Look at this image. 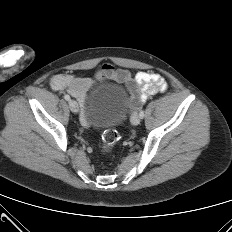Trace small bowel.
Segmentation results:
<instances>
[{
	"mask_svg": "<svg viewBox=\"0 0 232 232\" xmlns=\"http://www.w3.org/2000/svg\"><path fill=\"white\" fill-rule=\"evenodd\" d=\"M106 80L125 84L131 94L130 108L132 111L138 110L149 97L167 89L165 79L157 73L139 72L133 76L128 71L117 69L109 63L103 64L93 78L78 77L71 74L56 75L51 80V86L54 90H66L80 102H83L86 92L90 88L96 83Z\"/></svg>",
	"mask_w": 232,
	"mask_h": 232,
	"instance_id": "1",
	"label": "small bowel"
}]
</instances>
